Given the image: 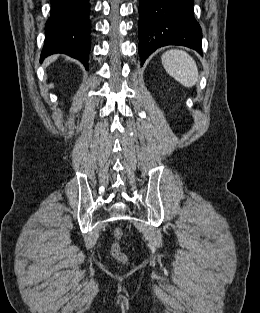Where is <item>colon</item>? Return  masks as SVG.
Returning a JSON list of instances; mask_svg holds the SVG:
<instances>
[{"instance_id": "obj_1", "label": "colon", "mask_w": 260, "mask_h": 313, "mask_svg": "<svg viewBox=\"0 0 260 313\" xmlns=\"http://www.w3.org/2000/svg\"><path fill=\"white\" fill-rule=\"evenodd\" d=\"M123 238V231L120 228H116L113 230V244L111 246V254L112 256L121 263H125L128 260L127 254L122 250L120 246V241Z\"/></svg>"}]
</instances>
